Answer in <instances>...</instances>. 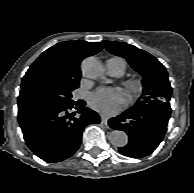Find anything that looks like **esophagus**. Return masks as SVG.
Here are the masks:
<instances>
[{
    "instance_id": "34e87169",
    "label": "esophagus",
    "mask_w": 194,
    "mask_h": 193,
    "mask_svg": "<svg viewBox=\"0 0 194 193\" xmlns=\"http://www.w3.org/2000/svg\"><path fill=\"white\" fill-rule=\"evenodd\" d=\"M102 123L105 125L108 124V118L106 116H102Z\"/></svg>"
}]
</instances>
